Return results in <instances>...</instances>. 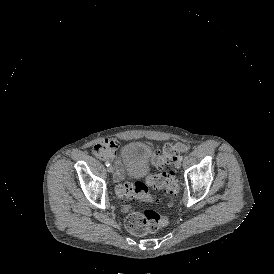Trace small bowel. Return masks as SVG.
I'll return each mask as SVG.
<instances>
[{"label": "small bowel", "mask_w": 274, "mask_h": 274, "mask_svg": "<svg viewBox=\"0 0 274 274\" xmlns=\"http://www.w3.org/2000/svg\"><path fill=\"white\" fill-rule=\"evenodd\" d=\"M144 145L149 146V143H144ZM120 148V144L117 140L114 139H106L95 143L92 148V154L97 158L110 161L115 164L116 167V178L122 179L125 176V169L124 166L119 159L118 150ZM131 147H127L130 149Z\"/></svg>", "instance_id": "c3829d8e"}]
</instances>
